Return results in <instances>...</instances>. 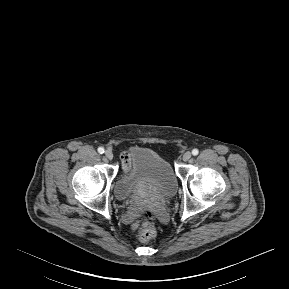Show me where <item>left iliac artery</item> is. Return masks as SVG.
Wrapping results in <instances>:
<instances>
[{
	"label": "left iliac artery",
	"mask_w": 289,
	"mask_h": 289,
	"mask_svg": "<svg viewBox=\"0 0 289 289\" xmlns=\"http://www.w3.org/2000/svg\"><path fill=\"white\" fill-rule=\"evenodd\" d=\"M198 153H199L198 149H193V150H192V154H193L194 156L198 155Z\"/></svg>",
	"instance_id": "left-iliac-artery-1"
}]
</instances>
